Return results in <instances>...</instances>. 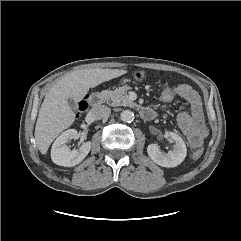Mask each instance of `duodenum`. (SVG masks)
I'll list each match as a JSON object with an SVG mask.
<instances>
[{
  "label": "duodenum",
  "instance_id": "1",
  "mask_svg": "<svg viewBox=\"0 0 241 241\" xmlns=\"http://www.w3.org/2000/svg\"><path fill=\"white\" fill-rule=\"evenodd\" d=\"M104 102V95L102 93H94L91 97H90V104L92 107H99L103 104ZM142 116L145 119H153L155 117V112L150 109V108H144L141 111Z\"/></svg>",
  "mask_w": 241,
  "mask_h": 241
}]
</instances>
